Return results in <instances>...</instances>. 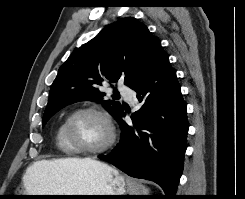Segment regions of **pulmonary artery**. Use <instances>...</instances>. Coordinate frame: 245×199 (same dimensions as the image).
<instances>
[{"label":"pulmonary artery","mask_w":245,"mask_h":199,"mask_svg":"<svg viewBox=\"0 0 245 199\" xmlns=\"http://www.w3.org/2000/svg\"><path fill=\"white\" fill-rule=\"evenodd\" d=\"M118 90L129 100V101H133L134 99V93L132 92V90L125 86V85H119L118 86Z\"/></svg>","instance_id":"obj_1"}]
</instances>
